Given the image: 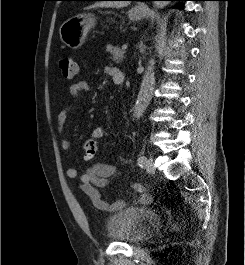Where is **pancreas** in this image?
Listing matches in <instances>:
<instances>
[{
    "mask_svg": "<svg viewBox=\"0 0 245 265\" xmlns=\"http://www.w3.org/2000/svg\"><path fill=\"white\" fill-rule=\"evenodd\" d=\"M107 51L111 54V59L116 63H121L125 58L124 56L125 51L121 50L118 47L109 46Z\"/></svg>",
    "mask_w": 245,
    "mask_h": 265,
    "instance_id": "obj_1",
    "label": "pancreas"
}]
</instances>
